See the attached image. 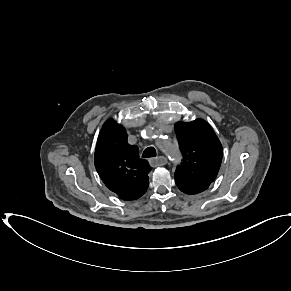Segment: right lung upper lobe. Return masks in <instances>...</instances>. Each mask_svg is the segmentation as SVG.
Returning <instances> with one entry per match:
<instances>
[{
    "label": "right lung upper lobe",
    "instance_id": "obj_1",
    "mask_svg": "<svg viewBox=\"0 0 291 291\" xmlns=\"http://www.w3.org/2000/svg\"><path fill=\"white\" fill-rule=\"evenodd\" d=\"M125 129L113 119L101 128L94 163L104 184L122 200L140 198L149 186L151 166L139 158L136 145L127 143Z\"/></svg>",
    "mask_w": 291,
    "mask_h": 291
}]
</instances>
